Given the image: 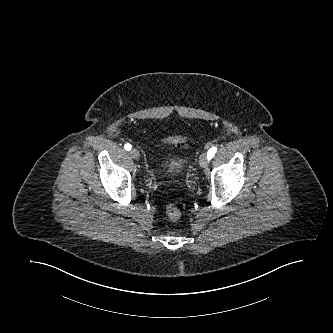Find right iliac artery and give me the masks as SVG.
Wrapping results in <instances>:
<instances>
[{
	"label": "right iliac artery",
	"mask_w": 333,
	"mask_h": 333,
	"mask_svg": "<svg viewBox=\"0 0 333 333\" xmlns=\"http://www.w3.org/2000/svg\"><path fill=\"white\" fill-rule=\"evenodd\" d=\"M124 148H125V150L129 151V150H131L132 146H131V144L126 143V144L124 145Z\"/></svg>",
	"instance_id": "1"
}]
</instances>
